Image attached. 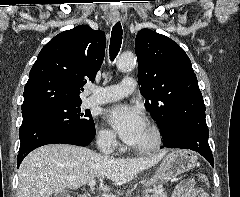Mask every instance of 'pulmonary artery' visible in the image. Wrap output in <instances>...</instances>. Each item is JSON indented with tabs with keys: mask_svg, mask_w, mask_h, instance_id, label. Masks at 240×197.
<instances>
[{
	"mask_svg": "<svg viewBox=\"0 0 240 197\" xmlns=\"http://www.w3.org/2000/svg\"><path fill=\"white\" fill-rule=\"evenodd\" d=\"M136 84L132 77L126 76L117 85L107 87H91L92 94L88 97V105H99L117 101L135 91Z\"/></svg>",
	"mask_w": 240,
	"mask_h": 197,
	"instance_id": "1",
	"label": "pulmonary artery"
}]
</instances>
